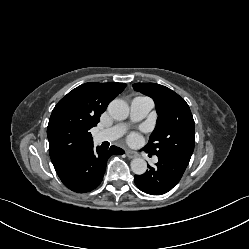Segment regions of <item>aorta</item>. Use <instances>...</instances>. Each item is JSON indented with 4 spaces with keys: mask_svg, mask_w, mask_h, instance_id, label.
<instances>
[{
    "mask_svg": "<svg viewBox=\"0 0 249 249\" xmlns=\"http://www.w3.org/2000/svg\"><path fill=\"white\" fill-rule=\"evenodd\" d=\"M108 113L116 120H124L129 115L127 103L121 99H114L108 105ZM131 170L136 175H142L147 170V163L143 158H134L131 161Z\"/></svg>",
    "mask_w": 249,
    "mask_h": 249,
    "instance_id": "762f6f07",
    "label": "aorta"
}]
</instances>
